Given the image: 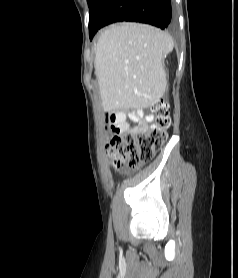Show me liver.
I'll return each mask as SVG.
<instances>
[{"label":"liver","instance_id":"liver-1","mask_svg":"<svg viewBox=\"0 0 238 278\" xmlns=\"http://www.w3.org/2000/svg\"><path fill=\"white\" fill-rule=\"evenodd\" d=\"M173 47L169 34L146 24L121 23L104 30L94 65L104 111L157 104L167 85L163 60Z\"/></svg>","mask_w":238,"mask_h":278}]
</instances>
